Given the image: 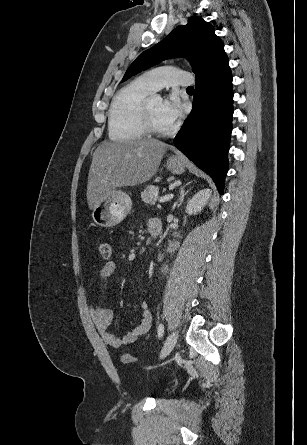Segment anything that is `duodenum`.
Returning <instances> with one entry per match:
<instances>
[{
	"label": "duodenum",
	"mask_w": 307,
	"mask_h": 445,
	"mask_svg": "<svg viewBox=\"0 0 307 445\" xmlns=\"http://www.w3.org/2000/svg\"><path fill=\"white\" fill-rule=\"evenodd\" d=\"M160 234V230L158 229H151L150 230V243H152Z\"/></svg>",
	"instance_id": "obj_1"
}]
</instances>
